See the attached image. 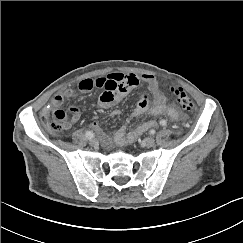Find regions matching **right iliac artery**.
Instances as JSON below:
<instances>
[{
  "mask_svg": "<svg viewBox=\"0 0 243 243\" xmlns=\"http://www.w3.org/2000/svg\"><path fill=\"white\" fill-rule=\"evenodd\" d=\"M85 136H86L88 139H91V138L94 137V134H93L91 131H87V132L85 133Z\"/></svg>",
  "mask_w": 243,
  "mask_h": 243,
  "instance_id": "obj_1",
  "label": "right iliac artery"
}]
</instances>
